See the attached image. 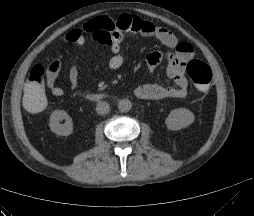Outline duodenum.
Here are the masks:
<instances>
[{"label":"duodenum","mask_w":254,"mask_h":216,"mask_svg":"<svg viewBox=\"0 0 254 216\" xmlns=\"http://www.w3.org/2000/svg\"><path fill=\"white\" fill-rule=\"evenodd\" d=\"M87 98L92 101H98V100L104 98V96L99 93L91 92V93L87 94Z\"/></svg>","instance_id":"1"}]
</instances>
